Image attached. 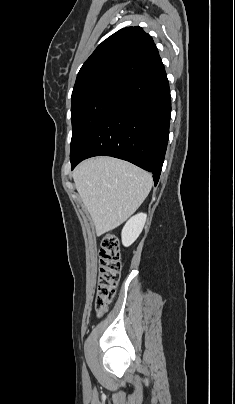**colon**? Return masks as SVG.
<instances>
[{
    "label": "colon",
    "mask_w": 235,
    "mask_h": 404,
    "mask_svg": "<svg viewBox=\"0 0 235 404\" xmlns=\"http://www.w3.org/2000/svg\"><path fill=\"white\" fill-rule=\"evenodd\" d=\"M121 262L117 238L106 234L101 239L99 252V276L95 300L98 316L104 314L114 298L120 277Z\"/></svg>",
    "instance_id": "1"
}]
</instances>
